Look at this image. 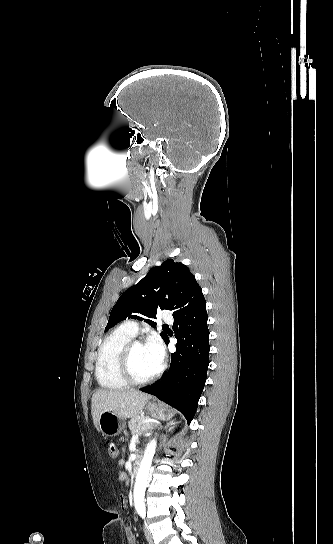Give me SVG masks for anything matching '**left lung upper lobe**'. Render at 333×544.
<instances>
[{"label": "left lung upper lobe", "instance_id": "obj_1", "mask_svg": "<svg viewBox=\"0 0 333 544\" xmlns=\"http://www.w3.org/2000/svg\"><path fill=\"white\" fill-rule=\"evenodd\" d=\"M202 294L189 268L173 259L153 267L136 285L126 290L112 308L105 331L127 318L144 320L156 318L158 309L173 311V315L190 305ZM145 322L156 326L152 320ZM163 340L167 334L160 333Z\"/></svg>", "mask_w": 333, "mask_h": 544}]
</instances>
